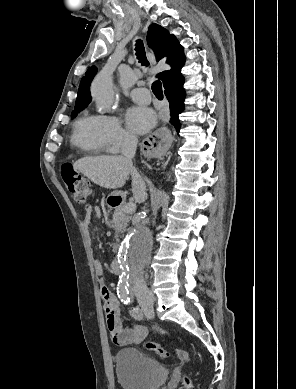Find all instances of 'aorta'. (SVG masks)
<instances>
[{"label": "aorta", "mask_w": 296, "mask_h": 389, "mask_svg": "<svg viewBox=\"0 0 296 389\" xmlns=\"http://www.w3.org/2000/svg\"><path fill=\"white\" fill-rule=\"evenodd\" d=\"M91 92L95 101L111 110L115 104V92L112 82V69L104 68L93 80ZM152 234L148 228L138 225L132 229L119 249V258L124 268L120 282L124 287L131 278L142 269L152 248ZM130 275V276H129Z\"/></svg>", "instance_id": "762f6f07"}]
</instances>
